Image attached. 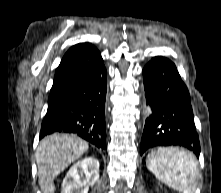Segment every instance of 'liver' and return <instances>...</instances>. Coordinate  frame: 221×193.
Returning a JSON list of instances; mask_svg holds the SVG:
<instances>
[{
	"instance_id": "6515ba94",
	"label": "liver",
	"mask_w": 221,
	"mask_h": 193,
	"mask_svg": "<svg viewBox=\"0 0 221 193\" xmlns=\"http://www.w3.org/2000/svg\"><path fill=\"white\" fill-rule=\"evenodd\" d=\"M88 148V143L75 135L53 134L43 138L36 154L38 182L43 193H54V179Z\"/></svg>"
}]
</instances>
